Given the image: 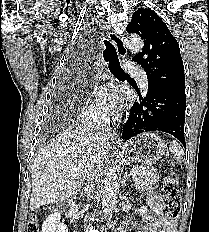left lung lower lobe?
Masks as SVG:
<instances>
[{"instance_id":"0a47b994","label":"left lung lower lobe","mask_w":209,"mask_h":232,"mask_svg":"<svg viewBox=\"0 0 209 232\" xmlns=\"http://www.w3.org/2000/svg\"><path fill=\"white\" fill-rule=\"evenodd\" d=\"M134 102L123 127L124 140L148 131H162L176 137L185 147V95L167 90H148Z\"/></svg>"}]
</instances>
